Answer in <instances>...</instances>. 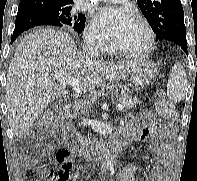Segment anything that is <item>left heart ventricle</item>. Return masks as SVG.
I'll return each instance as SVG.
<instances>
[{"label": "left heart ventricle", "mask_w": 197, "mask_h": 181, "mask_svg": "<svg viewBox=\"0 0 197 181\" xmlns=\"http://www.w3.org/2000/svg\"><path fill=\"white\" fill-rule=\"evenodd\" d=\"M147 33L138 23L131 21L127 29L116 40L118 46L128 50H141L147 43Z\"/></svg>", "instance_id": "obj_1"}]
</instances>
